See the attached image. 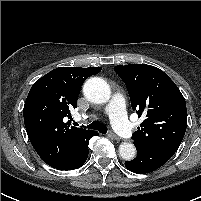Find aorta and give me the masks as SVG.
I'll list each match as a JSON object with an SVG mask.
<instances>
[{"label": "aorta", "instance_id": "762f6f07", "mask_svg": "<svg viewBox=\"0 0 201 201\" xmlns=\"http://www.w3.org/2000/svg\"><path fill=\"white\" fill-rule=\"evenodd\" d=\"M84 96L88 101L96 104H104L111 97V89L108 83L99 77L88 79L83 86ZM119 154L122 159L130 161L136 155V148L130 142H124L119 146Z\"/></svg>", "mask_w": 201, "mask_h": 201}]
</instances>
